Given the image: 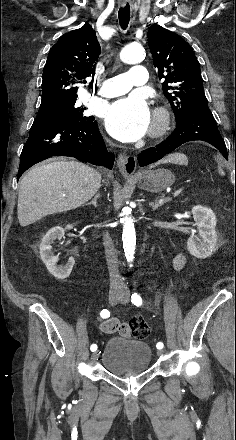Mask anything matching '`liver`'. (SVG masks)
I'll return each instance as SVG.
<instances>
[{
  "instance_id": "liver-1",
  "label": "liver",
  "mask_w": 236,
  "mask_h": 440,
  "mask_svg": "<svg viewBox=\"0 0 236 440\" xmlns=\"http://www.w3.org/2000/svg\"><path fill=\"white\" fill-rule=\"evenodd\" d=\"M165 162L187 164L173 154ZM101 187V174L77 161H54L32 168L20 181L17 215L26 227L48 215L76 209Z\"/></svg>"
}]
</instances>
